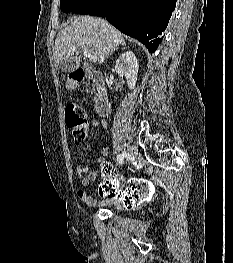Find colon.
I'll use <instances>...</instances> for the list:
<instances>
[{"label": "colon", "instance_id": "colon-1", "mask_svg": "<svg viewBox=\"0 0 233 263\" xmlns=\"http://www.w3.org/2000/svg\"><path fill=\"white\" fill-rule=\"evenodd\" d=\"M65 122L75 143H81L87 137L89 127L81 107L76 104L66 106ZM115 174V171H100L104 180L98 189L101 195H107L112 202H122L123 208H145L147 202H152L155 182H147L146 178H118Z\"/></svg>", "mask_w": 233, "mask_h": 263}]
</instances>
